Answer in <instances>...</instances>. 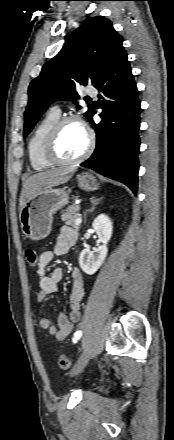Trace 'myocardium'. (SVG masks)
Instances as JSON below:
<instances>
[{
    "instance_id": "obj_1",
    "label": "myocardium",
    "mask_w": 174,
    "mask_h": 440,
    "mask_svg": "<svg viewBox=\"0 0 174 440\" xmlns=\"http://www.w3.org/2000/svg\"><path fill=\"white\" fill-rule=\"evenodd\" d=\"M71 122L78 123L79 125L82 126V128L87 134L88 142L85 150L78 157L74 159H64L58 154L57 142L62 128L66 124ZM94 143H95L94 135L92 131L84 123L83 120H81L78 116H74V115L66 116L60 118L49 131L45 143V150H44L45 157L54 165H60V166L75 165L82 162L87 157H89V155L93 151Z\"/></svg>"
}]
</instances>
